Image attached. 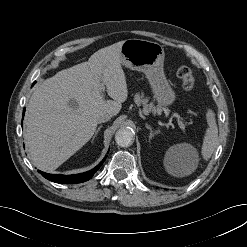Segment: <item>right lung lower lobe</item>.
Instances as JSON below:
<instances>
[{
  "instance_id": "right-lung-lower-lobe-1",
  "label": "right lung lower lobe",
  "mask_w": 247,
  "mask_h": 247,
  "mask_svg": "<svg viewBox=\"0 0 247 247\" xmlns=\"http://www.w3.org/2000/svg\"><path fill=\"white\" fill-rule=\"evenodd\" d=\"M35 83V82H34ZM25 109L23 110V115H24ZM107 156H105L106 158ZM105 158L99 163L98 166L93 168L90 171L80 173V174H74V175H60V174H48L45 172L39 171L43 177H45L48 180H51L56 183H61V184H73V183H81L88 181L89 179L92 178V176L97 172V170L101 167L103 164Z\"/></svg>"
}]
</instances>
